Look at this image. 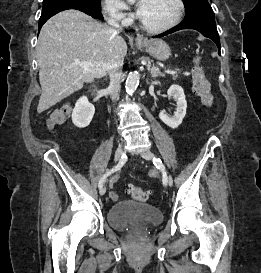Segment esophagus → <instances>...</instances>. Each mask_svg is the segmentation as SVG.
Instances as JSON below:
<instances>
[{"mask_svg":"<svg viewBox=\"0 0 261 273\" xmlns=\"http://www.w3.org/2000/svg\"><path fill=\"white\" fill-rule=\"evenodd\" d=\"M136 41H137V42H142V41H143V36L140 35V34H137V35H136Z\"/></svg>","mask_w":261,"mask_h":273,"instance_id":"1","label":"esophagus"}]
</instances>
